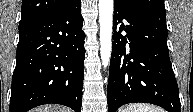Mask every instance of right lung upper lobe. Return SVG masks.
I'll list each match as a JSON object with an SVG mask.
<instances>
[{
    "label": "right lung upper lobe",
    "mask_w": 193,
    "mask_h": 112,
    "mask_svg": "<svg viewBox=\"0 0 193 112\" xmlns=\"http://www.w3.org/2000/svg\"><path fill=\"white\" fill-rule=\"evenodd\" d=\"M75 0H22L19 29L32 26L65 9Z\"/></svg>",
    "instance_id": "obj_1"
}]
</instances>
